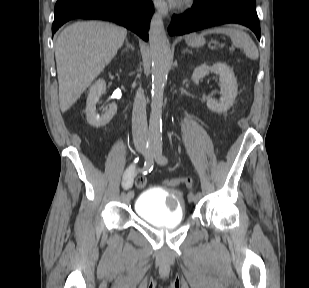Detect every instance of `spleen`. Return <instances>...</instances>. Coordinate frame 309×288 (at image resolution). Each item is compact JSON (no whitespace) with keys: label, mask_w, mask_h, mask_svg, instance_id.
Masks as SVG:
<instances>
[{"label":"spleen","mask_w":309,"mask_h":288,"mask_svg":"<svg viewBox=\"0 0 309 288\" xmlns=\"http://www.w3.org/2000/svg\"><path fill=\"white\" fill-rule=\"evenodd\" d=\"M211 33H221L225 34L230 37L233 45L236 47H240L244 50L245 55L252 60H256L259 57L258 49L255 45V43L252 41L250 36L236 28L232 27H216L213 29H208L206 31H203L201 35H207Z\"/></svg>","instance_id":"1"}]
</instances>
